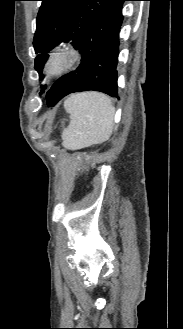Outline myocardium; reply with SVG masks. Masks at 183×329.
<instances>
[{
    "mask_svg": "<svg viewBox=\"0 0 183 329\" xmlns=\"http://www.w3.org/2000/svg\"><path fill=\"white\" fill-rule=\"evenodd\" d=\"M63 60L62 65L54 67V62ZM81 51L73 43L65 42L54 47L44 64V74L48 77H60L71 71L80 61Z\"/></svg>",
    "mask_w": 183,
    "mask_h": 329,
    "instance_id": "myocardium-1",
    "label": "myocardium"
}]
</instances>
